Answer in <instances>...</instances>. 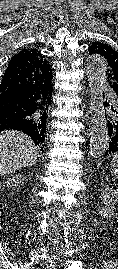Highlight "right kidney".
<instances>
[{
  "label": "right kidney",
  "instance_id": "1",
  "mask_svg": "<svg viewBox=\"0 0 118 269\" xmlns=\"http://www.w3.org/2000/svg\"><path fill=\"white\" fill-rule=\"evenodd\" d=\"M26 180V177H24L22 174H16L13 175L12 177L8 178L7 181L5 182L6 186L12 187L13 189L20 186V184Z\"/></svg>",
  "mask_w": 118,
  "mask_h": 269
}]
</instances>
